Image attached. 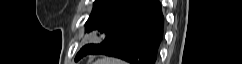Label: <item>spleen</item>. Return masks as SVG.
I'll return each instance as SVG.
<instances>
[{
    "mask_svg": "<svg viewBox=\"0 0 242 64\" xmlns=\"http://www.w3.org/2000/svg\"><path fill=\"white\" fill-rule=\"evenodd\" d=\"M95 64H125V62L118 59L103 58L97 60Z\"/></svg>",
    "mask_w": 242,
    "mask_h": 64,
    "instance_id": "obj_1",
    "label": "spleen"
}]
</instances>
